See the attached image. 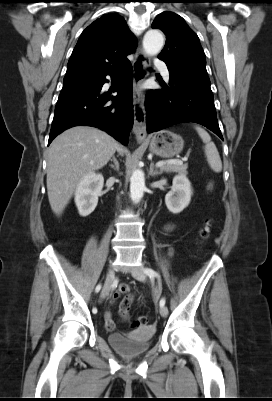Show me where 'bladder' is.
I'll return each instance as SVG.
<instances>
[{
    "mask_svg": "<svg viewBox=\"0 0 272 401\" xmlns=\"http://www.w3.org/2000/svg\"><path fill=\"white\" fill-rule=\"evenodd\" d=\"M154 326H142L131 333H112L108 336L110 346L125 357H135L148 352L150 340L155 334Z\"/></svg>",
    "mask_w": 272,
    "mask_h": 401,
    "instance_id": "31cf9c89",
    "label": "bladder"
}]
</instances>
